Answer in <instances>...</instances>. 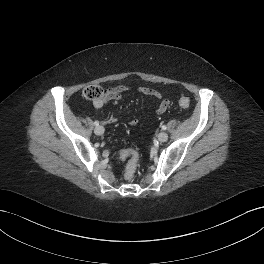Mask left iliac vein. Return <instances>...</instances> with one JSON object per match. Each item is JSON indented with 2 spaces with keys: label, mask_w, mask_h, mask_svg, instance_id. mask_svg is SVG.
Wrapping results in <instances>:
<instances>
[{
  "label": "left iliac vein",
  "mask_w": 264,
  "mask_h": 264,
  "mask_svg": "<svg viewBox=\"0 0 264 264\" xmlns=\"http://www.w3.org/2000/svg\"><path fill=\"white\" fill-rule=\"evenodd\" d=\"M157 137L160 142H165L168 139V134L166 132H160Z\"/></svg>",
  "instance_id": "obj_1"
}]
</instances>
